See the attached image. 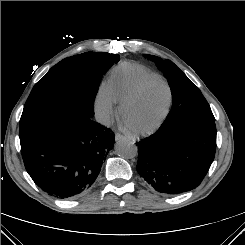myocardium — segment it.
<instances>
[{
	"mask_svg": "<svg viewBox=\"0 0 245 245\" xmlns=\"http://www.w3.org/2000/svg\"><path fill=\"white\" fill-rule=\"evenodd\" d=\"M153 82H160L162 83L168 92V99H167V103L165 106V109L162 113V115L158 118V120L156 122H154L152 125L145 127V128H134L129 126L125 119H124V112L125 109L131 105L132 103H134L136 100H138V98L141 96V94L143 93L144 89L151 83ZM172 99H173V94H172V89L169 85V83L162 77L160 76H153L150 78L145 79L144 81H142L138 87L125 99L120 103L119 106V113L120 116L123 120V123L125 125V127L133 134L136 135H147V134H151L153 132H155L165 121V119L167 118L170 108H171V104H172Z\"/></svg>",
	"mask_w": 245,
	"mask_h": 245,
	"instance_id": "f54148a6",
	"label": "myocardium"
}]
</instances>
